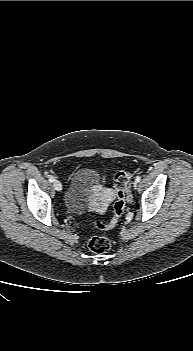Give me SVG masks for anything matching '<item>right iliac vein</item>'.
<instances>
[{"mask_svg": "<svg viewBox=\"0 0 193 351\" xmlns=\"http://www.w3.org/2000/svg\"><path fill=\"white\" fill-rule=\"evenodd\" d=\"M53 186L57 191H61L62 190V184L58 181V180H54L53 182Z\"/></svg>", "mask_w": 193, "mask_h": 351, "instance_id": "obj_1", "label": "right iliac vein"}]
</instances>
